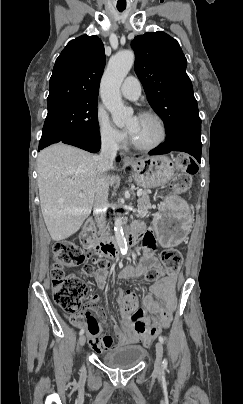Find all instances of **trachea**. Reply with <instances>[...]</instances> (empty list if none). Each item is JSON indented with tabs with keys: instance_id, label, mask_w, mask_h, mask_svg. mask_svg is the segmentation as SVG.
Returning <instances> with one entry per match:
<instances>
[{
	"instance_id": "trachea-1",
	"label": "trachea",
	"mask_w": 243,
	"mask_h": 404,
	"mask_svg": "<svg viewBox=\"0 0 243 404\" xmlns=\"http://www.w3.org/2000/svg\"><path fill=\"white\" fill-rule=\"evenodd\" d=\"M126 7H117V9L122 12L123 10H125Z\"/></svg>"
}]
</instances>
